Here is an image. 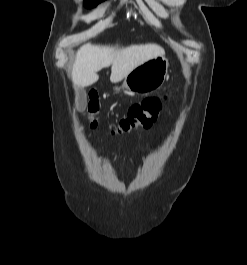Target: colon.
Masks as SVG:
<instances>
[{
	"label": "colon",
	"instance_id": "obj_1",
	"mask_svg": "<svg viewBox=\"0 0 247 265\" xmlns=\"http://www.w3.org/2000/svg\"><path fill=\"white\" fill-rule=\"evenodd\" d=\"M165 100L166 96H154L148 97L140 103L133 104L112 132L114 134H123L138 128H149L158 118ZM88 111L91 116L90 125L92 128H96L97 121L94 116L99 111V102L97 93L94 91L90 93Z\"/></svg>",
	"mask_w": 247,
	"mask_h": 265
}]
</instances>
